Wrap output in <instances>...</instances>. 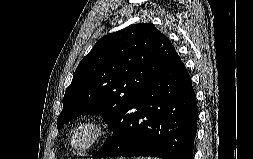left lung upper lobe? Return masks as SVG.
Returning <instances> with one entry per match:
<instances>
[{
	"instance_id": "5c2ea615",
	"label": "left lung upper lobe",
	"mask_w": 253,
	"mask_h": 159,
	"mask_svg": "<svg viewBox=\"0 0 253 159\" xmlns=\"http://www.w3.org/2000/svg\"><path fill=\"white\" fill-rule=\"evenodd\" d=\"M176 54L151 24L130 25L101 38L66 89L57 128L81 114H100L115 134L129 107Z\"/></svg>"
}]
</instances>
